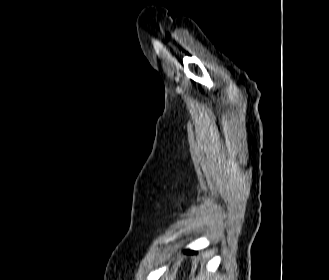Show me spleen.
<instances>
[{"instance_id": "3e777b00", "label": "spleen", "mask_w": 329, "mask_h": 280, "mask_svg": "<svg viewBox=\"0 0 329 280\" xmlns=\"http://www.w3.org/2000/svg\"><path fill=\"white\" fill-rule=\"evenodd\" d=\"M192 280H203V278H202V275H199L196 278H193Z\"/></svg>"}]
</instances>
